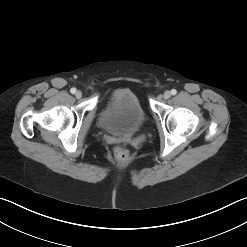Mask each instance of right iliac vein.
Returning a JSON list of instances; mask_svg holds the SVG:
<instances>
[{"instance_id":"obj_1","label":"right iliac vein","mask_w":247,"mask_h":247,"mask_svg":"<svg viewBox=\"0 0 247 247\" xmlns=\"http://www.w3.org/2000/svg\"><path fill=\"white\" fill-rule=\"evenodd\" d=\"M75 96H76V98H81L82 97V92L81 91H77L75 93Z\"/></svg>"}]
</instances>
